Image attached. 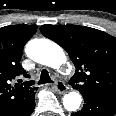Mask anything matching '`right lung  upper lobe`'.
<instances>
[{"label": "right lung upper lobe", "mask_w": 116, "mask_h": 116, "mask_svg": "<svg viewBox=\"0 0 116 116\" xmlns=\"http://www.w3.org/2000/svg\"><path fill=\"white\" fill-rule=\"evenodd\" d=\"M36 30V25L25 24L0 28V116H20L34 101L32 82L13 83L22 76L30 77L20 60L24 45Z\"/></svg>", "instance_id": "1"}]
</instances>
